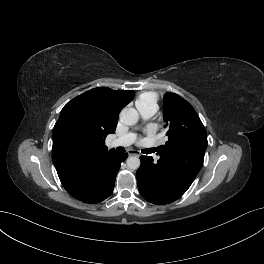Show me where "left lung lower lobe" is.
<instances>
[{"label": "left lung lower lobe", "instance_id": "left-lung-lower-lobe-1", "mask_svg": "<svg viewBox=\"0 0 264 264\" xmlns=\"http://www.w3.org/2000/svg\"><path fill=\"white\" fill-rule=\"evenodd\" d=\"M187 159L185 151L163 153L159 158L141 156L137 170L138 189L142 197L153 204H168L181 197L190 187L203 165L205 150Z\"/></svg>", "mask_w": 264, "mask_h": 264}]
</instances>
